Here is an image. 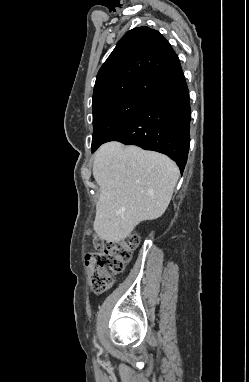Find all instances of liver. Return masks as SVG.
Returning <instances> with one entry per match:
<instances>
[{
  "label": "liver",
  "mask_w": 249,
  "mask_h": 382,
  "mask_svg": "<svg viewBox=\"0 0 249 382\" xmlns=\"http://www.w3.org/2000/svg\"><path fill=\"white\" fill-rule=\"evenodd\" d=\"M93 176L100 187L94 230L108 242H119L142 221L167 209L179 178L169 157L112 141L95 154Z\"/></svg>",
  "instance_id": "1"
}]
</instances>
